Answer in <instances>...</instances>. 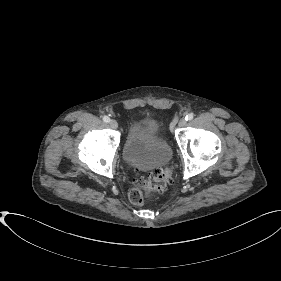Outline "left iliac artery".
<instances>
[{
	"instance_id": "1",
	"label": "left iliac artery",
	"mask_w": 281,
	"mask_h": 281,
	"mask_svg": "<svg viewBox=\"0 0 281 281\" xmlns=\"http://www.w3.org/2000/svg\"><path fill=\"white\" fill-rule=\"evenodd\" d=\"M193 117H194V115L192 113H189L188 115H186L185 119H186V121H190L193 119Z\"/></svg>"
}]
</instances>
